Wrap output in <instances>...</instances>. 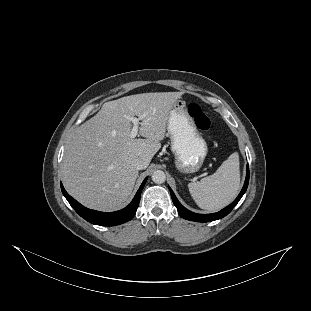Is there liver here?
I'll return each mask as SVG.
<instances>
[{
  "label": "liver",
  "instance_id": "liver-1",
  "mask_svg": "<svg viewBox=\"0 0 311 311\" xmlns=\"http://www.w3.org/2000/svg\"><path fill=\"white\" fill-rule=\"evenodd\" d=\"M183 92L134 94L103 104L80 125L65 149L62 180L67 192L84 206L103 212L122 209L129 201L141 158L147 168L161 148L173 104ZM141 119L139 135L130 138L132 122Z\"/></svg>",
  "mask_w": 311,
  "mask_h": 311
}]
</instances>
